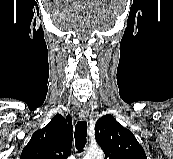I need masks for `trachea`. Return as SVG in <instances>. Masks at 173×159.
<instances>
[{"mask_svg": "<svg viewBox=\"0 0 173 159\" xmlns=\"http://www.w3.org/2000/svg\"><path fill=\"white\" fill-rule=\"evenodd\" d=\"M75 146L78 150V153L82 152L86 145V137H87V122L78 121L75 126Z\"/></svg>", "mask_w": 173, "mask_h": 159, "instance_id": "obj_1", "label": "trachea"}]
</instances>
